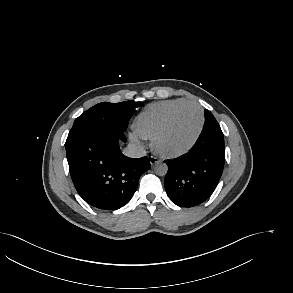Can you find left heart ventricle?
Returning a JSON list of instances; mask_svg holds the SVG:
<instances>
[{
    "label": "left heart ventricle",
    "mask_w": 293,
    "mask_h": 293,
    "mask_svg": "<svg viewBox=\"0 0 293 293\" xmlns=\"http://www.w3.org/2000/svg\"><path fill=\"white\" fill-rule=\"evenodd\" d=\"M200 112L195 107L182 109L162 135L159 145L166 151H176L188 145L200 126Z\"/></svg>",
    "instance_id": "b2bd125f"
}]
</instances>
